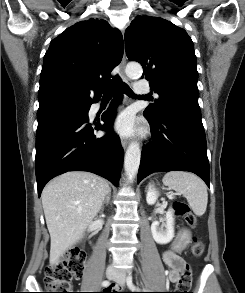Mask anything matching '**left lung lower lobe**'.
Wrapping results in <instances>:
<instances>
[{"mask_svg": "<svg viewBox=\"0 0 245 293\" xmlns=\"http://www.w3.org/2000/svg\"><path fill=\"white\" fill-rule=\"evenodd\" d=\"M149 119L152 143L142 150L138 183L154 172L173 170L197 174L210 187L207 145L201 115L169 108Z\"/></svg>", "mask_w": 245, "mask_h": 293, "instance_id": "1", "label": "left lung lower lobe"}]
</instances>
